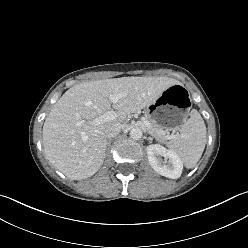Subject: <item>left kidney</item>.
<instances>
[{
  "instance_id": "5707ae66",
  "label": "left kidney",
  "mask_w": 248,
  "mask_h": 248,
  "mask_svg": "<svg viewBox=\"0 0 248 248\" xmlns=\"http://www.w3.org/2000/svg\"><path fill=\"white\" fill-rule=\"evenodd\" d=\"M146 150L149 164L157 173L171 179L181 176L183 164L176 153L159 144L149 145Z\"/></svg>"
}]
</instances>
